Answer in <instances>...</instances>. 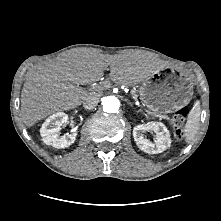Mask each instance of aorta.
Masks as SVG:
<instances>
[{
    "label": "aorta",
    "instance_id": "aorta-1",
    "mask_svg": "<svg viewBox=\"0 0 221 221\" xmlns=\"http://www.w3.org/2000/svg\"><path fill=\"white\" fill-rule=\"evenodd\" d=\"M103 110L107 113H116L120 107V101L115 96H107L102 100Z\"/></svg>",
    "mask_w": 221,
    "mask_h": 221
}]
</instances>
